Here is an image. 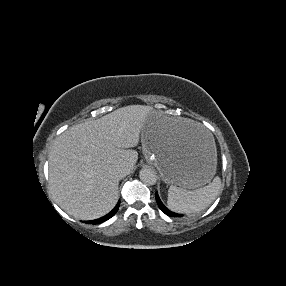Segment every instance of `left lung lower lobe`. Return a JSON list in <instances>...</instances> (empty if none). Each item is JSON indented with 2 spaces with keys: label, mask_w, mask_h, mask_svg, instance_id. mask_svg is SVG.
<instances>
[{
  "label": "left lung lower lobe",
  "mask_w": 286,
  "mask_h": 286,
  "mask_svg": "<svg viewBox=\"0 0 286 286\" xmlns=\"http://www.w3.org/2000/svg\"><path fill=\"white\" fill-rule=\"evenodd\" d=\"M155 197H156L157 204L163 213H165L166 215L171 216V217H181L182 216L181 214H177V213H174V212L168 210L163 205V203L161 202L157 192L155 193Z\"/></svg>",
  "instance_id": "left-lung-lower-lobe-1"
}]
</instances>
